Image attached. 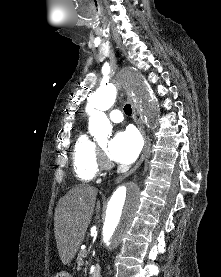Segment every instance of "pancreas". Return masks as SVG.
<instances>
[{
	"mask_svg": "<svg viewBox=\"0 0 221 277\" xmlns=\"http://www.w3.org/2000/svg\"><path fill=\"white\" fill-rule=\"evenodd\" d=\"M88 255V251L87 250H81L78 253L77 256V264H78V269H80V267L83 265V258H85Z\"/></svg>",
	"mask_w": 221,
	"mask_h": 277,
	"instance_id": "pancreas-1",
	"label": "pancreas"
}]
</instances>
